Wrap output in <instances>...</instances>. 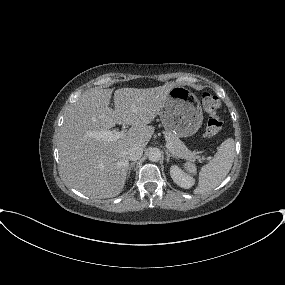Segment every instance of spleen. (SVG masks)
Segmentation results:
<instances>
[{
    "instance_id": "spleen-1",
    "label": "spleen",
    "mask_w": 285,
    "mask_h": 285,
    "mask_svg": "<svg viewBox=\"0 0 285 285\" xmlns=\"http://www.w3.org/2000/svg\"><path fill=\"white\" fill-rule=\"evenodd\" d=\"M234 157L235 143L232 138H228L219 146L214 158L201 168L198 186L194 193L203 194L216 188L229 173ZM185 168L189 173H196L193 164H186Z\"/></svg>"
}]
</instances>
